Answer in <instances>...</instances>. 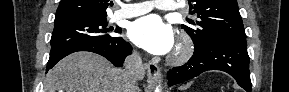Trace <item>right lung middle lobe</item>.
I'll return each instance as SVG.
<instances>
[{
  "mask_svg": "<svg viewBox=\"0 0 289 92\" xmlns=\"http://www.w3.org/2000/svg\"><path fill=\"white\" fill-rule=\"evenodd\" d=\"M110 31L113 29L107 28L106 19L84 17L55 22L50 54L78 44L110 43L118 39L110 36ZM115 32L120 33L121 29H116Z\"/></svg>",
  "mask_w": 289,
  "mask_h": 92,
  "instance_id": "right-lung-middle-lobe-1",
  "label": "right lung middle lobe"
}]
</instances>
